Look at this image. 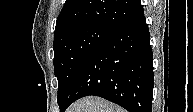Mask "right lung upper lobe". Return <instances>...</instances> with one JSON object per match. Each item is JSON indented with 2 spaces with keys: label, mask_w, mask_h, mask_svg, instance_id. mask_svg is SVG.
Instances as JSON below:
<instances>
[{
  "label": "right lung upper lobe",
  "mask_w": 193,
  "mask_h": 112,
  "mask_svg": "<svg viewBox=\"0 0 193 112\" xmlns=\"http://www.w3.org/2000/svg\"><path fill=\"white\" fill-rule=\"evenodd\" d=\"M142 12L140 0H66L54 34L84 24L115 30Z\"/></svg>",
  "instance_id": "right-lung-upper-lobe-1"
}]
</instances>
